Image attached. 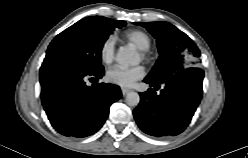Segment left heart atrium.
Returning <instances> with one entry per match:
<instances>
[{
	"mask_svg": "<svg viewBox=\"0 0 248 158\" xmlns=\"http://www.w3.org/2000/svg\"><path fill=\"white\" fill-rule=\"evenodd\" d=\"M144 76V68L142 66L120 67L113 66L107 70L106 80L113 84L122 87H129L135 81Z\"/></svg>",
	"mask_w": 248,
	"mask_h": 158,
	"instance_id": "obj_1",
	"label": "left heart atrium"
}]
</instances>
